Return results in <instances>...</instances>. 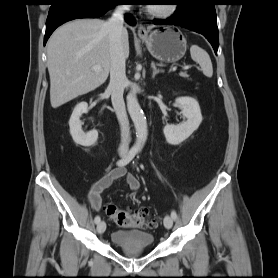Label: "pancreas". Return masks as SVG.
<instances>
[{
    "label": "pancreas",
    "mask_w": 278,
    "mask_h": 278,
    "mask_svg": "<svg viewBox=\"0 0 278 278\" xmlns=\"http://www.w3.org/2000/svg\"><path fill=\"white\" fill-rule=\"evenodd\" d=\"M180 75H181L182 77H184V78H188L187 73H181Z\"/></svg>",
    "instance_id": "cf45deb5"
}]
</instances>
